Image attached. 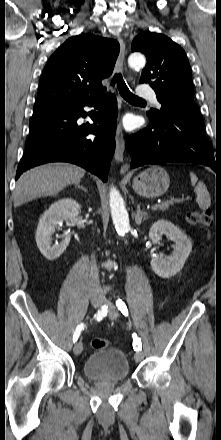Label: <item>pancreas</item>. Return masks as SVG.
<instances>
[{
    "mask_svg": "<svg viewBox=\"0 0 221 440\" xmlns=\"http://www.w3.org/2000/svg\"><path fill=\"white\" fill-rule=\"evenodd\" d=\"M172 204H173V201H165L161 204H158L157 209L160 211H165V210H168Z\"/></svg>",
    "mask_w": 221,
    "mask_h": 440,
    "instance_id": "cf45deb5",
    "label": "pancreas"
}]
</instances>
